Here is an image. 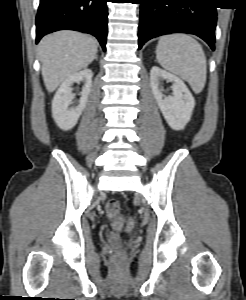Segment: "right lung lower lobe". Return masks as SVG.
Returning <instances> with one entry per match:
<instances>
[{"instance_id": "obj_1", "label": "right lung lower lobe", "mask_w": 246, "mask_h": 300, "mask_svg": "<svg viewBox=\"0 0 246 300\" xmlns=\"http://www.w3.org/2000/svg\"><path fill=\"white\" fill-rule=\"evenodd\" d=\"M108 0H40L36 43L51 32L76 30L94 35L106 50Z\"/></svg>"}]
</instances>
